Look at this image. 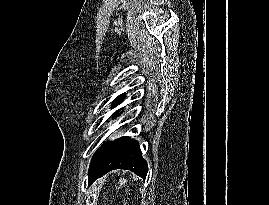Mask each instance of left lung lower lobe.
<instances>
[{
    "mask_svg": "<svg viewBox=\"0 0 269 205\" xmlns=\"http://www.w3.org/2000/svg\"><path fill=\"white\" fill-rule=\"evenodd\" d=\"M114 169L131 170L143 179L146 178L147 163L141 156L136 140L121 137L104 143L92 157L88 172L89 184Z\"/></svg>",
    "mask_w": 269,
    "mask_h": 205,
    "instance_id": "1",
    "label": "left lung lower lobe"
}]
</instances>
